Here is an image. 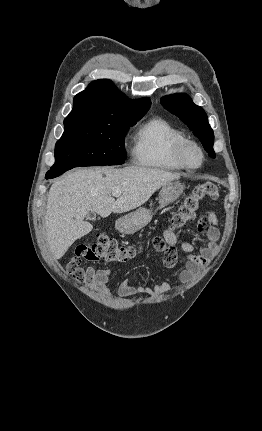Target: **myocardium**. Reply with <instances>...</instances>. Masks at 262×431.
<instances>
[{
	"label": "myocardium",
	"instance_id": "obj_1",
	"mask_svg": "<svg viewBox=\"0 0 262 431\" xmlns=\"http://www.w3.org/2000/svg\"><path fill=\"white\" fill-rule=\"evenodd\" d=\"M190 151H194L199 156V163L191 165L187 161V156ZM174 156L179 165L187 171H195L200 169L204 163V152L202 148L194 141L185 139L177 144Z\"/></svg>",
	"mask_w": 262,
	"mask_h": 431
}]
</instances>
